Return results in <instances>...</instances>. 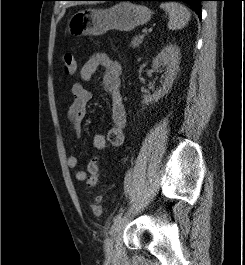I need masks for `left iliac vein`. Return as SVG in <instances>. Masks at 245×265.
Instances as JSON below:
<instances>
[{"label": "left iliac vein", "instance_id": "4c4485c4", "mask_svg": "<svg viewBox=\"0 0 245 265\" xmlns=\"http://www.w3.org/2000/svg\"><path fill=\"white\" fill-rule=\"evenodd\" d=\"M126 217L121 218L117 221H114L111 229H110V236L106 238L104 242V251L107 257H111L114 253V241L118 233L121 231V229L124 227L126 222Z\"/></svg>", "mask_w": 245, "mask_h": 265}]
</instances>
